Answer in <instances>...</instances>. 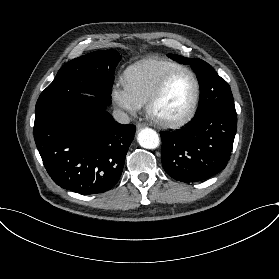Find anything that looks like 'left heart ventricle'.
Wrapping results in <instances>:
<instances>
[{
	"instance_id": "b2bd125f",
	"label": "left heart ventricle",
	"mask_w": 279,
	"mask_h": 279,
	"mask_svg": "<svg viewBox=\"0 0 279 279\" xmlns=\"http://www.w3.org/2000/svg\"><path fill=\"white\" fill-rule=\"evenodd\" d=\"M194 95L192 77L183 73L177 76L156 105V114L164 119L179 117L190 105Z\"/></svg>"
}]
</instances>
